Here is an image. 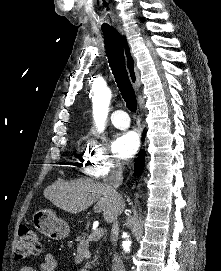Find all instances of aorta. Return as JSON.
Returning <instances> with one entry per match:
<instances>
[{
	"label": "aorta",
	"instance_id": "762f6f07",
	"mask_svg": "<svg viewBox=\"0 0 221 271\" xmlns=\"http://www.w3.org/2000/svg\"><path fill=\"white\" fill-rule=\"evenodd\" d=\"M111 100V91L106 89L99 93L94 98V119L98 126H103L108 115V108ZM126 239L122 242V247L125 252L130 251L131 241L129 236L124 234Z\"/></svg>",
	"mask_w": 221,
	"mask_h": 271
}]
</instances>
